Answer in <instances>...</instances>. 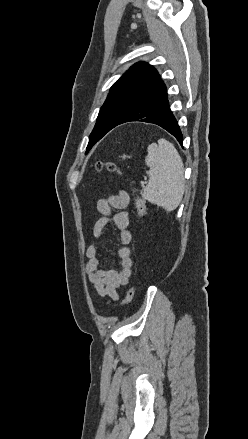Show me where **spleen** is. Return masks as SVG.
Wrapping results in <instances>:
<instances>
[{"label": "spleen", "instance_id": "3e777b00", "mask_svg": "<svg viewBox=\"0 0 248 439\" xmlns=\"http://www.w3.org/2000/svg\"><path fill=\"white\" fill-rule=\"evenodd\" d=\"M145 158L149 169V181L143 189L142 198L165 211L175 210L185 191L184 165L172 143L159 139L147 148Z\"/></svg>", "mask_w": 248, "mask_h": 439}]
</instances>
